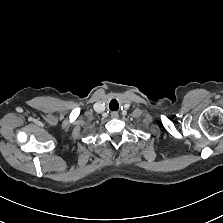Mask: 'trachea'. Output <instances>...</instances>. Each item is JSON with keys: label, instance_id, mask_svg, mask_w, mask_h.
<instances>
[{"label": "trachea", "instance_id": "1", "mask_svg": "<svg viewBox=\"0 0 223 223\" xmlns=\"http://www.w3.org/2000/svg\"><path fill=\"white\" fill-rule=\"evenodd\" d=\"M109 108L112 110V111H117L118 108H119V105H118V102L113 99L110 104H109Z\"/></svg>", "mask_w": 223, "mask_h": 223}]
</instances>
